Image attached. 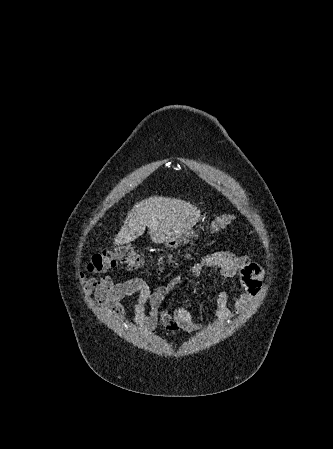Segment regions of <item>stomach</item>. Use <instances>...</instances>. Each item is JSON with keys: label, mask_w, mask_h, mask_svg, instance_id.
Masks as SVG:
<instances>
[{"label": "stomach", "mask_w": 333, "mask_h": 449, "mask_svg": "<svg viewBox=\"0 0 333 449\" xmlns=\"http://www.w3.org/2000/svg\"><path fill=\"white\" fill-rule=\"evenodd\" d=\"M189 237H192V238L196 237L192 228L186 230L180 237L172 238L170 240L165 241L164 242L165 248H175L176 246H178L180 244L181 238H183V240L185 242H187Z\"/></svg>", "instance_id": "stomach-1"}]
</instances>
